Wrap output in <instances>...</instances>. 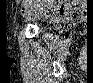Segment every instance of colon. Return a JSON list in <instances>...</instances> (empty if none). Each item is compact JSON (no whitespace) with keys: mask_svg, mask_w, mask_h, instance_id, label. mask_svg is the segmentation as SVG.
I'll list each match as a JSON object with an SVG mask.
<instances>
[{"mask_svg":"<svg viewBox=\"0 0 93 83\" xmlns=\"http://www.w3.org/2000/svg\"><path fill=\"white\" fill-rule=\"evenodd\" d=\"M53 4H56L58 6V10H62L64 6L71 5L73 2L70 1H55L51 2Z\"/></svg>","mask_w":93,"mask_h":83,"instance_id":"5ec220e1","label":"colon"}]
</instances>
